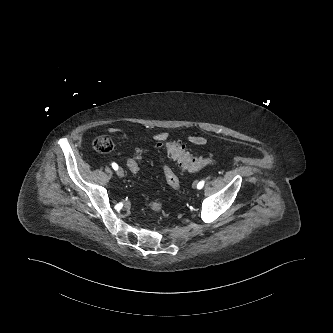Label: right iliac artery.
Masks as SVG:
<instances>
[{"instance_id":"82829eb1","label":"right iliac artery","mask_w":333,"mask_h":333,"mask_svg":"<svg viewBox=\"0 0 333 333\" xmlns=\"http://www.w3.org/2000/svg\"><path fill=\"white\" fill-rule=\"evenodd\" d=\"M112 167H113L114 170L118 169V165L116 163H112Z\"/></svg>"}]
</instances>
